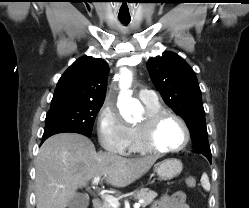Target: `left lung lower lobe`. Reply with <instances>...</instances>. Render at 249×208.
Returning <instances> with one entry per match:
<instances>
[{"mask_svg": "<svg viewBox=\"0 0 249 208\" xmlns=\"http://www.w3.org/2000/svg\"><path fill=\"white\" fill-rule=\"evenodd\" d=\"M202 154L211 162V154H207V153H202Z\"/></svg>", "mask_w": 249, "mask_h": 208, "instance_id": "1", "label": "left lung lower lobe"}]
</instances>
